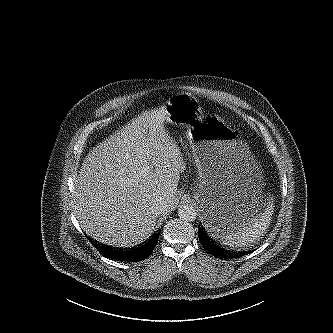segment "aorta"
<instances>
[{"label":"aorta","mask_w":333,"mask_h":333,"mask_svg":"<svg viewBox=\"0 0 333 333\" xmlns=\"http://www.w3.org/2000/svg\"><path fill=\"white\" fill-rule=\"evenodd\" d=\"M178 216L184 221L192 222L196 219L197 213L193 206L181 205L178 209Z\"/></svg>","instance_id":"aorta-1"}]
</instances>
